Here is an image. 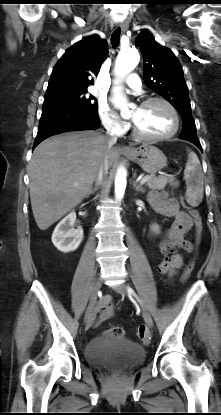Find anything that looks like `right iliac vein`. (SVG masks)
<instances>
[{
	"label": "right iliac vein",
	"mask_w": 221,
	"mask_h": 415,
	"mask_svg": "<svg viewBox=\"0 0 221 415\" xmlns=\"http://www.w3.org/2000/svg\"><path fill=\"white\" fill-rule=\"evenodd\" d=\"M102 286V280L100 278H98L93 286L92 292H91V296H90V301H89V305L87 307L86 310V314H85V318L84 321L86 324H89L92 322L93 318H94V308L97 302V297H98V293L101 289Z\"/></svg>",
	"instance_id": "1"
}]
</instances>
